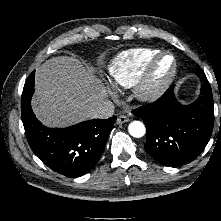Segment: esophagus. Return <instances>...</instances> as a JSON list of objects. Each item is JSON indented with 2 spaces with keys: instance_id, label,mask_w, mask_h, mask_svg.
<instances>
[{
  "instance_id": "obj_1",
  "label": "esophagus",
  "mask_w": 221,
  "mask_h": 221,
  "mask_svg": "<svg viewBox=\"0 0 221 221\" xmlns=\"http://www.w3.org/2000/svg\"><path fill=\"white\" fill-rule=\"evenodd\" d=\"M129 121V118L126 115H120L117 118V124H123Z\"/></svg>"
}]
</instances>
